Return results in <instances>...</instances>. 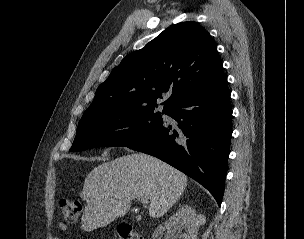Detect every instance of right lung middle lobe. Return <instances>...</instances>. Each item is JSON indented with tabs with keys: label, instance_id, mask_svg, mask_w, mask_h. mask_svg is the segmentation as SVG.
Here are the masks:
<instances>
[{
	"label": "right lung middle lobe",
	"instance_id": "dd1d6c3e",
	"mask_svg": "<svg viewBox=\"0 0 304 239\" xmlns=\"http://www.w3.org/2000/svg\"><path fill=\"white\" fill-rule=\"evenodd\" d=\"M154 105L113 108L82 118L70 151L101 146L127 147L159 127L163 119ZM162 113H165L163 108Z\"/></svg>",
	"mask_w": 304,
	"mask_h": 239
}]
</instances>
